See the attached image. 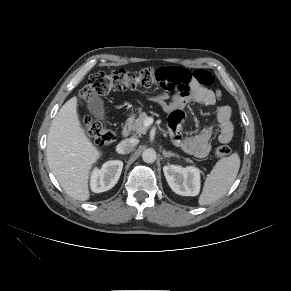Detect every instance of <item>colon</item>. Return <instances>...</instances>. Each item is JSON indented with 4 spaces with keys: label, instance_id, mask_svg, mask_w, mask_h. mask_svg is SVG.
I'll list each match as a JSON object with an SVG mask.
<instances>
[{
    "label": "colon",
    "instance_id": "colon-1",
    "mask_svg": "<svg viewBox=\"0 0 291 291\" xmlns=\"http://www.w3.org/2000/svg\"><path fill=\"white\" fill-rule=\"evenodd\" d=\"M200 81L205 82L208 74L203 71L196 73ZM159 83L161 86L167 87L169 90L183 88V84L176 79H167L161 75L160 70L153 68H143L138 72H129L124 69L115 70L110 73L97 72L88 80L87 84L80 92V98L84 101L89 100L95 95L104 96L111 91H124L135 89L139 86L148 87ZM82 126L87 134L93 138L99 146L111 143L115 139V135L110 130L104 128L99 122L94 121L91 117H84ZM231 149L226 144L218 145L214 153L217 157L223 158L230 154Z\"/></svg>",
    "mask_w": 291,
    "mask_h": 291
}]
</instances>
